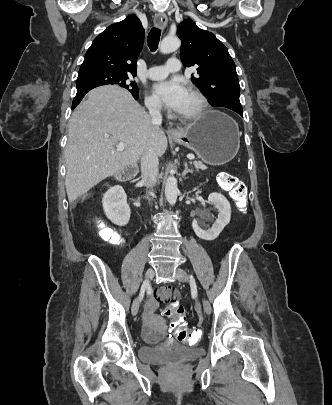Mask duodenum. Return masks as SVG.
I'll use <instances>...</instances> for the list:
<instances>
[{"instance_id": "duodenum-1", "label": "duodenum", "mask_w": 332, "mask_h": 405, "mask_svg": "<svg viewBox=\"0 0 332 405\" xmlns=\"http://www.w3.org/2000/svg\"><path fill=\"white\" fill-rule=\"evenodd\" d=\"M133 178V173H131V172H128V173H125V174H122L121 176H120V181L121 182H127V181H129V180H131Z\"/></svg>"}]
</instances>
